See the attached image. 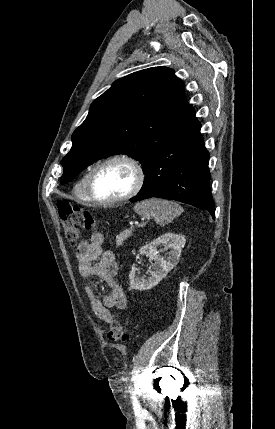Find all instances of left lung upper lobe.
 Returning <instances> with one entry per match:
<instances>
[{
    "instance_id": "left-lung-upper-lobe-1",
    "label": "left lung upper lobe",
    "mask_w": 275,
    "mask_h": 429,
    "mask_svg": "<svg viewBox=\"0 0 275 429\" xmlns=\"http://www.w3.org/2000/svg\"><path fill=\"white\" fill-rule=\"evenodd\" d=\"M189 108L184 82L172 69L148 68L116 80L94 100L72 134V148L62 159L61 184L115 153L139 160L145 171Z\"/></svg>"
}]
</instances>
